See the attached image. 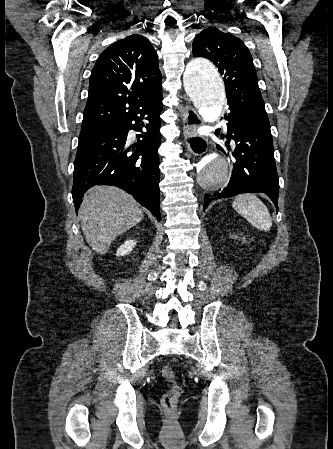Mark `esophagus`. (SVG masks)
I'll use <instances>...</instances> for the list:
<instances>
[{
  "label": "esophagus",
  "mask_w": 333,
  "mask_h": 449,
  "mask_svg": "<svg viewBox=\"0 0 333 449\" xmlns=\"http://www.w3.org/2000/svg\"><path fill=\"white\" fill-rule=\"evenodd\" d=\"M202 124L200 115L191 106H186L183 114V129L186 148L194 155H202L207 149V140L198 134L197 128Z\"/></svg>",
  "instance_id": "34e87169"
}]
</instances>
